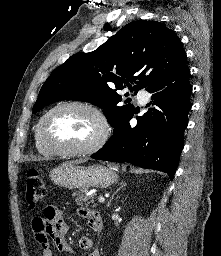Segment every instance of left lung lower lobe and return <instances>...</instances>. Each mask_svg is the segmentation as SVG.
Segmentation results:
<instances>
[{"label":"left lung lower lobe","instance_id":"obj_1","mask_svg":"<svg viewBox=\"0 0 221 256\" xmlns=\"http://www.w3.org/2000/svg\"><path fill=\"white\" fill-rule=\"evenodd\" d=\"M189 76L190 70L186 65L149 89L153 104L162 111L150 109V112L137 118L134 128L129 124L133 116L119 124L103 148L91 157L159 170L173 179L184 146L183 133L191 109L192 86Z\"/></svg>","mask_w":221,"mask_h":256}]
</instances>
